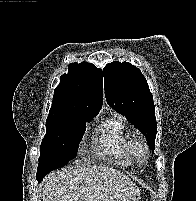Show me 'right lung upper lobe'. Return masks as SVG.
Segmentation results:
<instances>
[{
    "instance_id": "cb5924a9",
    "label": "right lung upper lobe",
    "mask_w": 196,
    "mask_h": 201,
    "mask_svg": "<svg viewBox=\"0 0 196 201\" xmlns=\"http://www.w3.org/2000/svg\"><path fill=\"white\" fill-rule=\"evenodd\" d=\"M102 103V70L88 62H74L69 64L68 74L60 77L48 117L68 112H83L95 116L100 111Z\"/></svg>"
}]
</instances>
